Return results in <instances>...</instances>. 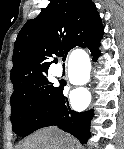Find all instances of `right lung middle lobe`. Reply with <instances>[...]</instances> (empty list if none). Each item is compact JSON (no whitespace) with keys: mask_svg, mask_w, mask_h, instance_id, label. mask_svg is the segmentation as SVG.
<instances>
[{"mask_svg":"<svg viewBox=\"0 0 124 149\" xmlns=\"http://www.w3.org/2000/svg\"><path fill=\"white\" fill-rule=\"evenodd\" d=\"M57 88L52 86L45 74L28 85L14 89L10 100L11 122L17 135H22L30 118L46 106Z\"/></svg>","mask_w":124,"mask_h":149,"instance_id":"obj_1","label":"right lung middle lobe"}]
</instances>
